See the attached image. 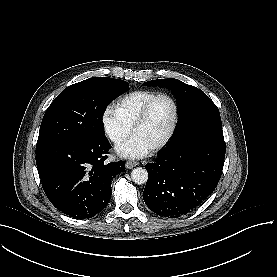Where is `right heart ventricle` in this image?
I'll return each instance as SVG.
<instances>
[{
    "instance_id": "1",
    "label": "right heart ventricle",
    "mask_w": 277,
    "mask_h": 277,
    "mask_svg": "<svg viewBox=\"0 0 277 277\" xmlns=\"http://www.w3.org/2000/svg\"><path fill=\"white\" fill-rule=\"evenodd\" d=\"M155 97L148 91H137L126 95L116 105V113L126 123H132L142 112L146 104Z\"/></svg>"
}]
</instances>
